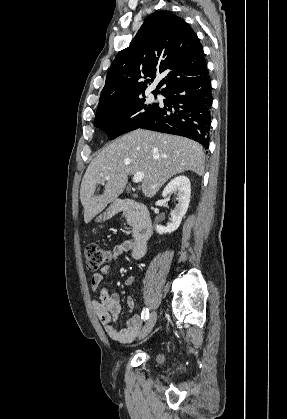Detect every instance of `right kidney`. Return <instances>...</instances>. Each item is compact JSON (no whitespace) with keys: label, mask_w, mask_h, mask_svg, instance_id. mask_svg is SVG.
<instances>
[{"label":"right kidney","mask_w":287,"mask_h":419,"mask_svg":"<svg viewBox=\"0 0 287 419\" xmlns=\"http://www.w3.org/2000/svg\"><path fill=\"white\" fill-rule=\"evenodd\" d=\"M178 191V203L175 209L171 212V223L166 227L162 225H156V232L158 234L171 233L178 229L181 224L182 218L187 212L189 202L191 185L190 181L186 176H178L171 180L162 192V196L165 198L173 192Z\"/></svg>","instance_id":"obj_1"}]
</instances>
